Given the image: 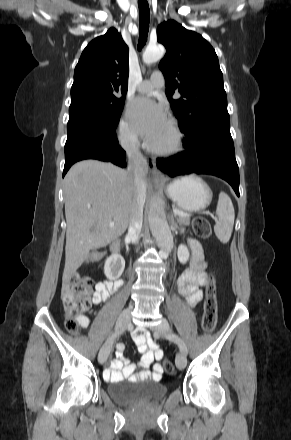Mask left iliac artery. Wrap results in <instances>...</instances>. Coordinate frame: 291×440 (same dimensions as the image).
I'll return each mask as SVG.
<instances>
[{"mask_svg":"<svg viewBox=\"0 0 291 440\" xmlns=\"http://www.w3.org/2000/svg\"><path fill=\"white\" fill-rule=\"evenodd\" d=\"M168 338H169L170 340L174 341V342L179 346L180 351H181L182 353H184L185 355H187V352H188L187 347H186L185 343L183 342V340H182L178 335L172 333V334H170V335L168 336Z\"/></svg>","mask_w":291,"mask_h":440,"instance_id":"obj_1","label":"left iliac artery"}]
</instances>
